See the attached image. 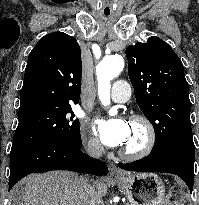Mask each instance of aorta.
Instances as JSON below:
<instances>
[{"label":"aorta","instance_id":"aorta-1","mask_svg":"<svg viewBox=\"0 0 199 205\" xmlns=\"http://www.w3.org/2000/svg\"><path fill=\"white\" fill-rule=\"evenodd\" d=\"M124 68V59L120 55L105 57L96 67L98 81V96L102 104L110 102V82L117 77Z\"/></svg>","mask_w":199,"mask_h":205}]
</instances>
